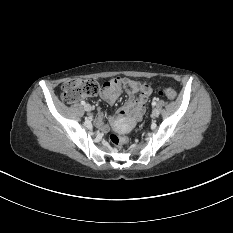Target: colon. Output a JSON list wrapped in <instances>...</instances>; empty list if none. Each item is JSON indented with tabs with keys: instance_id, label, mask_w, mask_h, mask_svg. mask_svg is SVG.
Wrapping results in <instances>:
<instances>
[{
	"instance_id": "1",
	"label": "colon",
	"mask_w": 233,
	"mask_h": 233,
	"mask_svg": "<svg viewBox=\"0 0 233 233\" xmlns=\"http://www.w3.org/2000/svg\"><path fill=\"white\" fill-rule=\"evenodd\" d=\"M98 91L99 83L94 79H71L62 84V99L66 103H73L80 97H90L97 94ZM160 94L170 100L177 97V92L171 87H162ZM110 141L119 147L125 143V138L113 133L110 135Z\"/></svg>"
}]
</instances>
